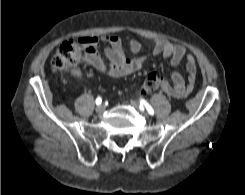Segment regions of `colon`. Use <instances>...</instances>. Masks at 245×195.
Returning a JSON list of instances; mask_svg holds the SVG:
<instances>
[{"mask_svg": "<svg viewBox=\"0 0 245 195\" xmlns=\"http://www.w3.org/2000/svg\"><path fill=\"white\" fill-rule=\"evenodd\" d=\"M84 49L75 41L62 43L55 52L51 67L56 73L63 71H77L83 58ZM163 79L156 73H150L142 83L145 94L153 93L162 87Z\"/></svg>", "mask_w": 245, "mask_h": 195, "instance_id": "1", "label": "colon"}]
</instances>
